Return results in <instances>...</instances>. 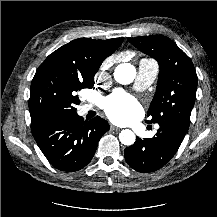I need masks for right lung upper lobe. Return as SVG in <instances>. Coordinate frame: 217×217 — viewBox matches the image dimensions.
<instances>
[{"instance_id":"obj_1","label":"right lung upper lobe","mask_w":217,"mask_h":217,"mask_svg":"<svg viewBox=\"0 0 217 217\" xmlns=\"http://www.w3.org/2000/svg\"><path fill=\"white\" fill-rule=\"evenodd\" d=\"M123 38L75 39L50 54L42 64H56L79 75H95L103 60L114 53Z\"/></svg>"}]
</instances>
